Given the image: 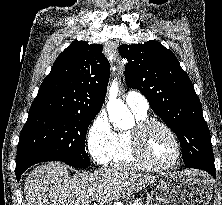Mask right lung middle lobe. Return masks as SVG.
I'll return each mask as SVG.
<instances>
[{
	"label": "right lung middle lobe",
	"mask_w": 222,
	"mask_h": 205,
	"mask_svg": "<svg viewBox=\"0 0 222 205\" xmlns=\"http://www.w3.org/2000/svg\"><path fill=\"white\" fill-rule=\"evenodd\" d=\"M96 114L53 112L28 116L19 138L17 157L44 154L76 168H87L88 126Z\"/></svg>",
	"instance_id": "obj_1"
}]
</instances>
